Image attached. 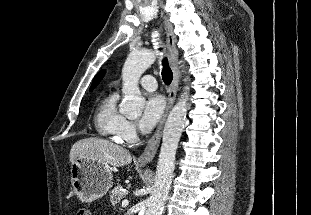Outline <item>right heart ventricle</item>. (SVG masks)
Listing matches in <instances>:
<instances>
[{
  "label": "right heart ventricle",
  "instance_id": "e07e8e85",
  "mask_svg": "<svg viewBox=\"0 0 311 215\" xmlns=\"http://www.w3.org/2000/svg\"><path fill=\"white\" fill-rule=\"evenodd\" d=\"M118 95H108L100 104L95 115V126L98 133L115 142H120L119 130L125 117L117 109Z\"/></svg>",
  "mask_w": 311,
  "mask_h": 215
}]
</instances>
